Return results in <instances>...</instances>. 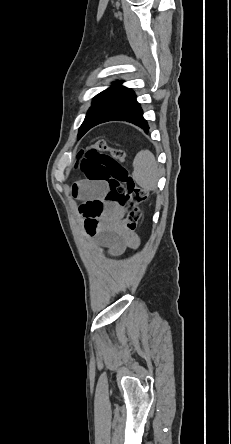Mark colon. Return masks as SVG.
<instances>
[{
  "label": "colon",
  "instance_id": "obj_1",
  "mask_svg": "<svg viewBox=\"0 0 231 444\" xmlns=\"http://www.w3.org/2000/svg\"><path fill=\"white\" fill-rule=\"evenodd\" d=\"M125 162L124 150L112 148L104 140H98L80 153L76 166L88 182L108 184L107 198L124 208L125 227L129 232H133L141 218L139 205L148 198V192L133 181ZM101 210L100 202H89L81 207L88 233H96Z\"/></svg>",
  "mask_w": 231,
  "mask_h": 444
}]
</instances>
